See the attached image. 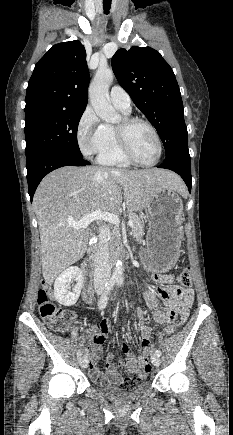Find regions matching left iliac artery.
<instances>
[{
    "mask_svg": "<svg viewBox=\"0 0 233 435\" xmlns=\"http://www.w3.org/2000/svg\"><path fill=\"white\" fill-rule=\"evenodd\" d=\"M117 283H118V285H122L123 284V279L122 278H119L118 280H117ZM156 354L157 355H161V351L160 350H156Z\"/></svg>",
    "mask_w": 233,
    "mask_h": 435,
    "instance_id": "obj_1",
    "label": "left iliac artery"
}]
</instances>
